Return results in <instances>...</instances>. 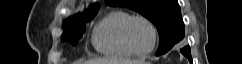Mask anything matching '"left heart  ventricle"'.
<instances>
[{"mask_svg":"<svg viewBox=\"0 0 242 64\" xmlns=\"http://www.w3.org/2000/svg\"><path fill=\"white\" fill-rule=\"evenodd\" d=\"M129 39L137 51H146L153 43L152 32L149 26L142 20H136L131 24Z\"/></svg>","mask_w":242,"mask_h":64,"instance_id":"obj_1","label":"left heart ventricle"}]
</instances>
